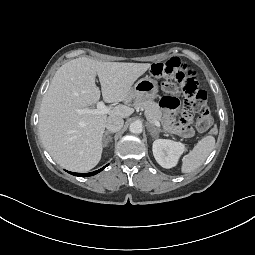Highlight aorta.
<instances>
[{"label":"aorta","mask_w":255,"mask_h":255,"mask_svg":"<svg viewBox=\"0 0 255 255\" xmlns=\"http://www.w3.org/2000/svg\"><path fill=\"white\" fill-rule=\"evenodd\" d=\"M129 130L133 134H140L142 133L143 126L140 122H132L129 126Z\"/></svg>","instance_id":"762f6f07"}]
</instances>
